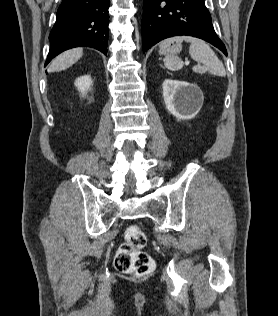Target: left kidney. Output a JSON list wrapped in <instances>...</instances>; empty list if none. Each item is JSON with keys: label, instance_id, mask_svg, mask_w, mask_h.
Instances as JSON below:
<instances>
[{"label": "left kidney", "instance_id": "obj_1", "mask_svg": "<svg viewBox=\"0 0 278 316\" xmlns=\"http://www.w3.org/2000/svg\"><path fill=\"white\" fill-rule=\"evenodd\" d=\"M163 97L167 110L181 120L196 116L203 104V93L192 83L166 79L163 82Z\"/></svg>", "mask_w": 278, "mask_h": 316}]
</instances>
